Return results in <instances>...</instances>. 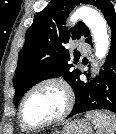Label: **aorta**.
Instances as JSON below:
<instances>
[{
	"instance_id": "obj_1",
	"label": "aorta",
	"mask_w": 116,
	"mask_h": 134,
	"mask_svg": "<svg viewBox=\"0 0 116 134\" xmlns=\"http://www.w3.org/2000/svg\"><path fill=\"white\" fill-rule=\"evenodd\" d=\"M81 19L88 26L95 41V55L98 59H103L109 48V37L107 25L104 18L94 9L82 6L72 15L71 20Z\"/></svg>"
}]
</instances>
